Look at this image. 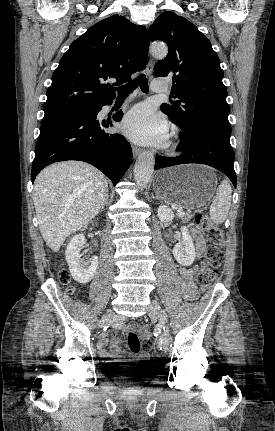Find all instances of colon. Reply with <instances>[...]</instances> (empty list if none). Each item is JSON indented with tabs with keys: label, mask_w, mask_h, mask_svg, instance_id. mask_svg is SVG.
<instances>
[{
	"label": "colon",
	"mask_w": 275,
	"mask_h": 431,
	"mask_svg": "<svg viewBox=\"0 0 275 431\" xmlns=\"http://www.w3.org/2000/svg\"><path fill=\"white\" fill-rule=\"evenodd\" d=\"M196 225L208 236V246L197 273V281L201 288H206L217 277V270L224 260V233L221 228L215 225L205 213H198L195 218ZM59 278L64 284L70 281V275L66 270H61ZM69 294H74L72 286L67 287ZM128 348L132 353L141 354L146 357L153 349L151 340L141 341L134 331L127 335Z\"/></svg>",
	"instance_id": "1"
}]
</instances>
